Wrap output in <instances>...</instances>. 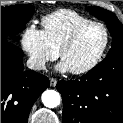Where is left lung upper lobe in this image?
<instances>
[{
	"label": "left lung upper lobe",
	"instance_id": "5c2ea615",
	"mask_svg": "<svg viewBox=\"0 0 123 123\" xmlns=\"http://www.w3.org/2000/svg\"><path fill=\"white\" fill-rule=\"evenodd\" d=\"M87 10L92 15L108 24V30L113 37V40L112 47L109 50L107 57L123 53V25L118 18L112 12L97 6H90Z\"/></svg>",
	"mask_w": 123,
	"mask_h": 123
}]
</instances>
